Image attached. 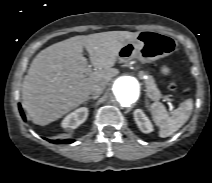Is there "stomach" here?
I'll use <instances>...</instances> for the list:
<instances>
[{
  "label": "stomach",
  "mask_w": 212,
  "mask_h": 183,
  "mask_svg": "<svg viewBox=\"0 0 212 183\" xmlns=\"http://www.w3.org/2000/svg\"><path fill=\"white\" fill-rule=\"evenodd\" d=\"M178 43L170 35L151 30L139 32L135 40L128 42L119 52V60L126 62L132 58H138L140 61L150 63L160 58L174 53ZM163 75H169L170 67L163 65L160 68Z\"/></svg>",
  "instance_id": "stomach-1"
}]
</instances>
